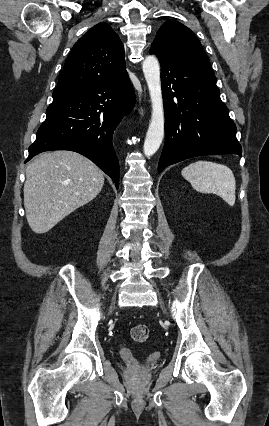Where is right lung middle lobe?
<instances>
[{
    "label": "right lung middle lobe",
    "mask_w": 269,
    "mask_h": 426,
    "mask_svg": "<svg viewBox=\"0 0 269 426\" xmlns=\"http://www.w3.org/2000/svg\"><path fill=\"white\" fill-rule=\"evenodd\" d=\"M64 92H53V100L59 98L60 96L64 95Z\"/></svg>",
    "instance_id": "1"
}]
</instances>
